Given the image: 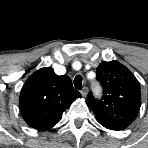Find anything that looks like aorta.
<instances>
[{
    "label": "aorta",
    "mask_w": 148,
    "mask_h": 148,
    "mask_svg": "<svg viewBox=\"0 0 148 148\" xmlns=\"http://www.w3.org/2000/svg\"><path fill=\"white\" fill-rule=\"evenodd\" d=\"M93 90H94V92H95V94H96L97 96L100 95V93H101V87H100V85H99L98 83H95V85H94V87H93Z\"/></svg>",
    "instance_id": "1"
}]
</instances>
